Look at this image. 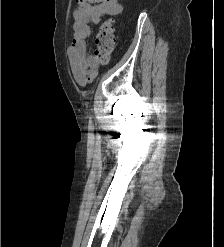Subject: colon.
Listing matches in <instances>:
<instances>
[{
    "label": "colon",
    "instance_id": "obj_1",
    "mask_svg": "<svg viewBox=\"0 0 224 247\" xmlns=\"http://www.w3.org/2000/svg\"><path fill=\"white\" fill-rule=\"evenodd\" d=\"M76 1L79 2V0ZM114 46V27L112 21L108 20L101 25L97 34L94 59L100 64L107 63L114 50Z\"/></svg>",
    "mask_w": 224,
    "mask_h": 247
}]
</instances>
